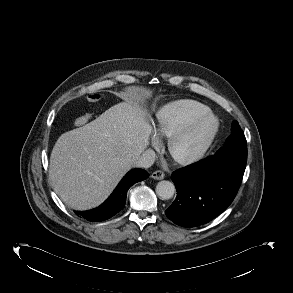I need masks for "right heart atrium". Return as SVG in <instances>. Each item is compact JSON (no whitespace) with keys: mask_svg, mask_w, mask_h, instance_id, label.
Returning a JSON list of instances; mask_svg holds the SVG:
<instances>
[{"mask_svg":"<svg viewBox=\"0 0 293 293\" xmlns=\"http://www.w3.org/2000/svg\"><path fill=\"white\" fill-rule=\"evenodd\" d=\"M159 143H160V141H159L158 136L153 135V137H152V145H153L154 147H157V146L159 145Z\"/></svg>","mask_w":293,"mask_h":293,"instance_id":"right-heart-atrium-1","label":"right heart atrium"}]
</instances>
